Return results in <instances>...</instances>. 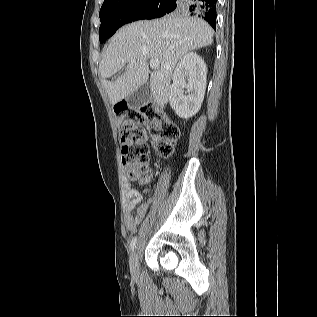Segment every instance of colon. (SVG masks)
I'll return each instance as SVG.
<instances>
[{
  "label": "colon",
  "instance_id": "colon-1",
  "mask_svg": "<svg viewBox=\"0 0 317 317\" xmlns=\"http://www.w3.org/2000/svg\"><path fill=\"white\" fill-rule=\"evenodd\" d=\"M122 144V163L127 175L138 180L148 169L147 131L156 151L162 156L173 153L180 131L178 126L154 104L131 108L123 104L115 107Z\"/></svg>",
  "mask_w": 317,
  "mask_h": 317
}]
</instances>
